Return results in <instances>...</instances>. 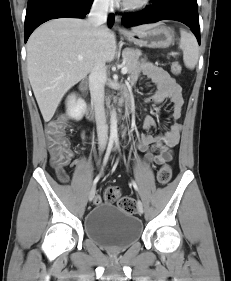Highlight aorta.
I'll return each instance as SVG.
<instances>
[{
    "label": "aorta",
    "instance_id": "obj_1",
    "mask_svg": "<svg viewBox=\"0 0 231 281\" xmlns=\"http://www.w3.org/2000/svg\"><path fill=\"white\" fill-rule=\"evenodd\" d=\"M117 117L116 112L113 110L110 119V134L112 137H117Z\"/></svg>",
    "mask_w": 231,
    "mask_h": 281
}]
</instances>
